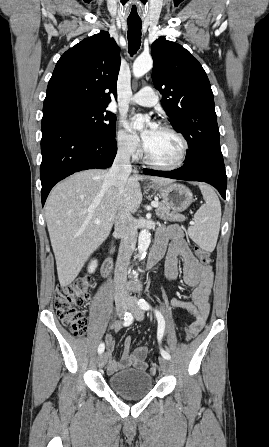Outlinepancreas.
Here are the masks:
<instances>
[{"instance_id":"obj_1","label":"pancreas","mask_w":269,"mask_h":447,"mask_svg":"<svg viewBox=\"0 0 269 447\" xmlns=\"http://www.w3.org/2000/svg\"><path fill=\"white\" fill-rule=\"evenodd\" d=\"M159 206L156 208V216L161 220H169V222H184V216L177 214V212H170V208H167L163 202H158Z\"/></svg>"}]
</instances>
